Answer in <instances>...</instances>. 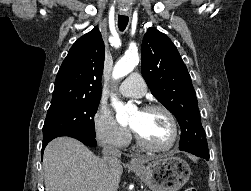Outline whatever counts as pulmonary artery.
<instances>
[{
	"mask_svg": "<svg viewBox=\"0 0 251 191\" xmlns=\"http://www.w3.org/2000/svg\"><path fill=\"white\" fill-rule=\"evenodd\" d=\"M146 89V83L139 73L128 75L119 87V91L128 97H142Z\"/></svg>",
	"mask_w": 251,
	"mask_h": 191,
	"instance_id": "obj_1",
	"label": "pulmonary artery"
}]
</instances>
